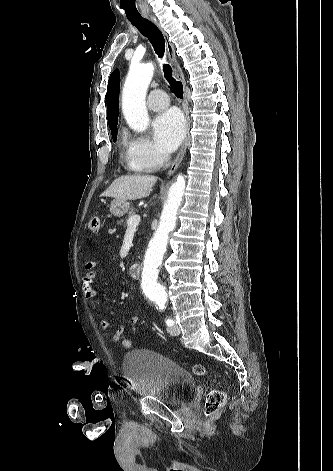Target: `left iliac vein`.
<instances>
[{
	"mask_svg": "<svg viewBox=\"0 0 333 471\" xmlns=\"http://www.w3.org/2000/svg\"><path fill=\"white\" fill-rule=\"evenodd\" d=\"M167 332L172 336H177L180 334V327L178 324H174L167 328Z\"/></svg>",
	"mask_w": 333,
	"mask_h": 471,
	"instance_id": "1",
	"label": "left iliac vein"
}]
</instances>
